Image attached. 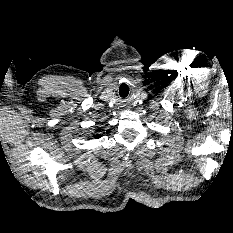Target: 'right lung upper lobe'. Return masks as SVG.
Listing matches in <instances>:
<instances>
[{
  "mask_svg": "<svg viewBox=\"0 0 233 233\" xmlns=\"http://www.w3.org/2000/svg\"><path fill=\"white\" fill-rule=\"evenodd\" d=\"M99 131V130H98ZM93 137L95 138H100V135H94Z\"/></svg>",
  "mask_w": 233,
  "mask_h": 233,
  "instance_id": "right-lung-upper-lobe-1",
  "label": "right lung upper lobe"
}]
</instances>
